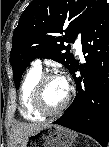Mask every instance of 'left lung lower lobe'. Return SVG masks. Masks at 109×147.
Here are the masks:
<instances>
[{"mask_svg": "<svg viewBox=\"0 0 109 147\" xmlns=\"http://www.w3.org/2000/svg\"><path fill=\"white\" fill-rule=\"evenodd\" d=\"M82 50L88 53L84 67L77 65L72 72L76 97L66 112L54 123L93 137L102 146L109 141V5L106 2L82 34ZM80 71L82 76L77 77ZM98 72L102 86L93 93L88 76Z\"/></svg>", "mask_w": 109, "mask_h": 147, "instance_id": "obj_1", "label": "left lung lower lobe"}]
</instances>
